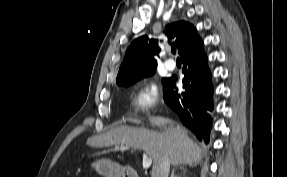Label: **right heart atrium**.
I'll return each mask as SVG.
<instances>
[{"instance_id": "d8ad5b80", "label": "right heart atrium", "mask_w": 287, "mask_h": 177, "mask_svg": "<svg viewBox=\"0 0 287 177\" xmlns=\"http://www.w3.org/2000/svg\"><path fill=\"white\" fill-rule=\"evenodd\" d=\"M159 99V91L156 83L146 82L142 84L133 95V106L141 111H146L155 106Z\"/></svg>"}]
</instances>
